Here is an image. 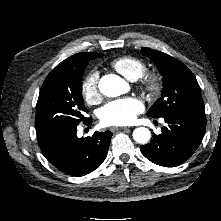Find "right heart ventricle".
Returning <instances> with one entry per match:
<instances>
[{
	"label": "right heart ventricle",
	"mask_w": 221,
	"mask_h": 221,
	"mask_svg": "<svg viewBox=\"0 0 221 221\" xmlns=\"http://www.w3.org/2000/svg\"><path fill=\"white\" fill-rule=\"evenodd\" d=\"M110 66L130 81H136L144 76L146 64L133 56H122L111 61Z\"/></svg>",
	"instance_id": "e07e8e85"
}]
</instances>
